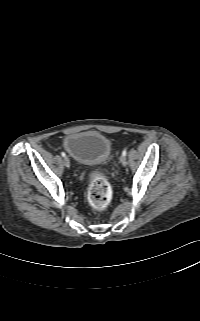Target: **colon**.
<instances>
[{
  "label": "colon",
  "instance_id": "colon-1",
  "mask_svg": "<svg viewBox=\"0 0 200 321\" xmlns=\"http://www.w3.org/2000/svg\"><path fill=\"white\" fill-rule=\"evenodd\" d=\"M88 199L91 206L97 210L105 209L111 202V187L107 180L99 173H93L91 176Z\"/></svg>",
  "mask_w": 200,
  "mask_h": 321
}]
</instances>
